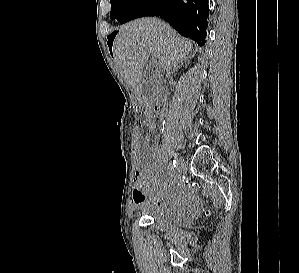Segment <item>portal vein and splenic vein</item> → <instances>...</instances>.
Returning <instances> with one entry per match:
<instances>
[{
  "instance_id": "obj_1",
  "label": "portal vein and splenic vein",
  "mask_w": 299,
  "mask_h": 273,
  "mask_svg": "<svg viewBox=\"0 0 299 273\" xmlns=\"http://www.w3.org/2000/svg\"><path fill=\"white\" fill-rule=\"evenodd\" d=\"M152 56H153V57H157V54H156V53H152Z\"/></svg>"
}]
</instances>
